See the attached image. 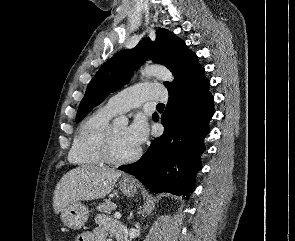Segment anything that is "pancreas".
I'll list each match as a JSON object with an SVG mask.
<instances>
[{"instance_id": "1", "label": "pancreas", "mask_w": 295, "mask_h": 241, "mask_svg": "<svg viewBox=\"0 0 295 241\" xmlns=\"http://www.w3.org/2000/svg\"><path fill=\"white\" fill-rule=\"evenodd\" d=\"M116 208V205L110 200H105V202L99 204L97 206V210L100 212H104L110 214Z\"/></svg>"}]
</instances>
